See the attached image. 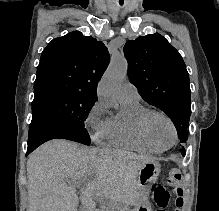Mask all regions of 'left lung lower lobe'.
<instances>
[{
	"label": "left lung lower lobe",
	"mask_w": 219,
	"mask_h": 211,
	"mask_svg": "<svg viewBox=\"0 0 219 211\" xmlns=\"http://www.w3.org/2000/svg\"><path fill=\"white\" fill-rule=\"evenodd\" d=\"M181 152H182V155L185 156L186 151L184 148L181 150Z\"/></svg>",
	"instance_id": "1"
}]
</instances>
